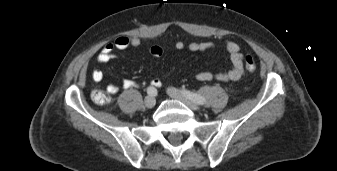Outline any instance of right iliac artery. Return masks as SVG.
<instances>
[{"label": "right iliac artery", "instance_id": "1", "mask_svg": "<svg viewBox=\"0 0 337 171\" xmlns=\"http://www.w3.org/2000/svg\"><path fill=\"white\" fill-rule=\"evenodd\" d=\"M147 93L151 96H156L157 95V89L150 86V87L147 88Z\"/></svg>", "mask_w": 337, "mask_h": 171}]
</instances>
